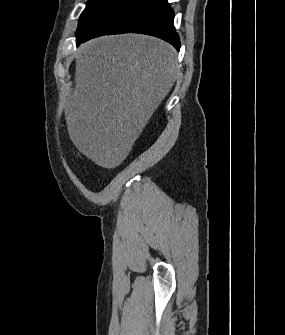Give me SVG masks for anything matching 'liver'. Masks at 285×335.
I'll list each match as a JSON object with an SVG mask.
<instances>
[{
	"mask_svg": "<svg viewBox=\"0 0 285 335\" xmlns=\"http://www.w3.org/2000/svg\"><path fill=\"white\" fill-rule=\"evenodd\" d=\"M65 108L71 142L101 168H117L169 94L174 48L151 36H102L81 44Z\"/></svg>",
	"mask_w": 285,
	"mask_h": 335,
	"instance_id": "1",
	"label": "liver"
}]
</instances>
